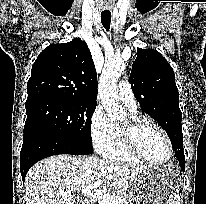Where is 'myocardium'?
Here are the masks:
<instances>
[{
    "label": "myocardium",
    "mask_w": 206,
    "mask_h": 204,
    "mask_svg": "<svg viewBox=\"0 0 206 204\" xmlns=\"http://www.w3.org/2000/svg\"><path fill=\"white\" fill-rule=\"evenodd\" d=\"M150 125L157 129L165 138L166 143L168 145V156L161 161H154L146 157L143 152L141 151L139 144H138V134L140 130L146 126ZM124 142L132 155L136 158L151 165H163L169 162L174 154V148L171 141L170 136L166 132V130L156 123L154 120L137 114H131L127 120L120 126Z\"/></svg>",
    "instance_id": "f54148a6"
}]
</instances>
